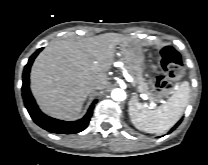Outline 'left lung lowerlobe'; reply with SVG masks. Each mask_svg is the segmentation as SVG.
I'll return each instance as SVG.
<instances>
[{
  "mask_svg": "<svg viewBox=\"0 0 208 165\" xmlns=\"http://www.w3.org/2000/svg\"><path fill=\"white\" fill-rule=\"evenodd\" d=\"M180 123H181V120L170 130V132L173 131Z\"/></svg>",
  "mask_w": 208,
  "mask_h": 165,
  "instance_id": "0a47b994",
  "label": "left lung lower lobe"
}]
</instances>
